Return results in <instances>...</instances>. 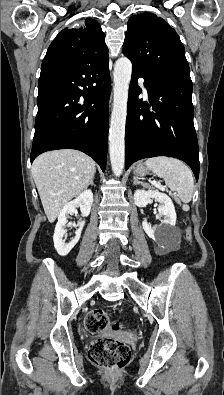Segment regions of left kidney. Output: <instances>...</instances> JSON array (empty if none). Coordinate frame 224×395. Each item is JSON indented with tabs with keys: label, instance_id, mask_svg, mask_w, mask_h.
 <instances>
[{
	"label": "left kidney",
	"instance_id": "left-kidney-1",
	"mask_svg": "<svg viewBox=\"0 0 224 395\" xmlns=\"http://www.w3.org/2000/svg\"><path fill=\"white\" fill-rule=\"evenodd\" d=\"M151 199H155L161 204L158 208L160 217H164L161 224L156 227H151V225L145 219L142 222L143 229L145 233L156 240L157 238L165 235L170 227L175 226L176 223V212L174 204L171 198L165 193H161L157 190H142L137 189L134 192V202L138 207H146L150 203Z\"/></svg>",
	"mask_w": 224,
	"mask_h": 395
}]
</instances>
